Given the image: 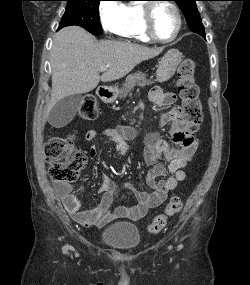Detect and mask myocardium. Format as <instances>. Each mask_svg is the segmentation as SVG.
<instances>
[{
	"instance_id": "obj_1",
	"label": "myocardium",
	"mask_w": 250,
	"mask_h": 285,
	"mask_svg": "<svg viewBox=\"0 0 250 285\" xmlns=\"http://www.w3.org/2000/svg\"><path fill=\"white\" fill-rule=\"evenodd\" d=\"M160 4L169 6L174 11L178 21L175 33L170 38L167 39L160 38L159 36H157L153 28L154 10ZM182 26H183V19L181 11L178 8V6L175 3L171 2L170 0H162L160 2H146L145 4H143V28L146 36L150 40L163 44L171 43L178 37L179 33L181 32Z\"/></svg>"
}]
</instances>
